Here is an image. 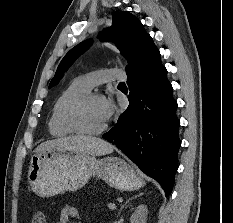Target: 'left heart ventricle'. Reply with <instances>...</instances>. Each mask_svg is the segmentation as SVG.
<instances>
[{
    "instance_id": "obj_1",
    "label": "left heart ventricle",
    "mask_w": 233,
    "mask_h": 223,
    "mask_svg": "<svg viewBox=\"0 0 233 223\" xmlns=\"http://www.w3.org/2000/svg\"><path fill=\"white\" fill-rule=\"evenodd\" d=\"M99 98L91 100L81 114V126L88 131H95L101 128L105 122L100 114Z\"/></svg>"
}]
</instances>
